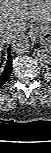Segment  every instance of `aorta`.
Returning a JSON list of instances; mask_svg holds the SVG:
<instances>
[{
    "label": "aorta",
    "mask_w": 51,
    "mask_h": 153,
    "mask_svg": "<svg viewBox=\"0 0 51 153\" xmlns=\"http://www.w3.org/2000/svg\"><path fill=\"white\" fill-rule=\"evenodd\" d=\"M31 48V40L25 34H19L12 40V49L17 54H25Z\"/></svg>",
    "instance_id": "762f6f07"
}]
</instances>
